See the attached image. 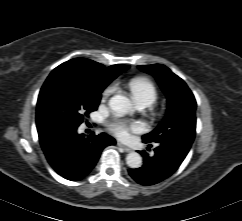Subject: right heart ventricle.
<instances>
[{"mask_svg": "<svg viewBox=\"0 0 242 221\" xmlns=\"http://www.w3.org/2000/svg\"><path fill=\"white\" fill-rule=\"evenodd\" d=\"M130 91L137 103L152 105L158 96L155 85L144 77H137L129 82Z\"/></svg>", "mask_w": 242, "mask_h": 221, "instance_id": "right-heart-ventricle-1", "label": "right heart ventricle"}]
</instances>
